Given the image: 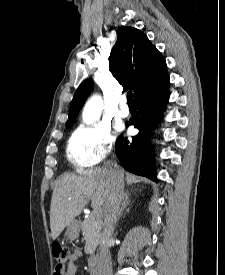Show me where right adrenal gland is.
Masks as SVG:
<instances>
[{
    "label": "right adrenal gland",
    "instance_id": "obj_1",
    "mask_svg": "<svg viewBox=\"0 0 225 275\" xmlns=\"http://www.w3.org/2000/svg\"><path fill=\"white\" fill-rule=\"evenodd\" d=\"M129 204H130V195H129V192L127 191L124 195V200L121 204V208H120V211H119V214H118V218L122 217V214H123L124 210L126 209V207Z\"/></svg>",
    "mask_w": 225,
    "mask_h": 275
}]
</instances>
